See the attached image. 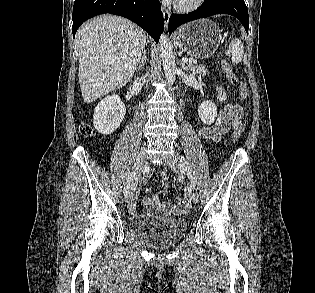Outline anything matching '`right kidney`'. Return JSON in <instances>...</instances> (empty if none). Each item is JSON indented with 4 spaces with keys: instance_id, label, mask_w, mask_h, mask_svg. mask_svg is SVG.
<instances>
[{
    "instance_id": "1",
    "label": "right kidney",
    "mask_w": 315,
    "mask_h": 293,
    "mask_svg": "<svg viewBox=\"0 0 315 293\" xmlns=\"http://www.w3.org/2000/svg\"><path fill=\"white\" fill-rule=\"evenodd\" d=\"M126 114V107L118 95L107 96L95 108L93 124L95 129L103 134L110 135L120 126Z\"/></svg>"
}]
</instances>
